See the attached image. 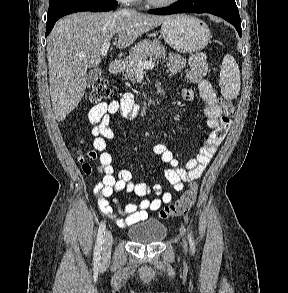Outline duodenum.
Segmentation results:
<instances>
[{
	"label": "duodenum",
	"instance_id": "1",
	"mask_svg": "<svg viewBox=\"0 0 288 293\" xmlns=\"http://www.w3.org/2000/svg\"><path fill=\"white\" fill-rule=\"evenodd\" d=\"M123 69V62L120 59H115L110 63L109 70L112 74L120 73Z\"/></svg>",
	"mask_w": 288,
	"mask_h": 293
}]
</instances>
